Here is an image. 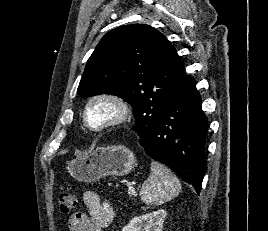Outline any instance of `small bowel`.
<instances>
[{
  "label": "small bowel",
  "mask_w": 268,
  "mask_h": 231,
  "mask_svg": "<svg viewBox=\"0 0 268 231\" xmlns=\"http://www.w3.org/2000/svg\"><path fill=\"white\" fill-rule=\"evenodd\" d=\"M83 203L87 212H77L70 216L69 231H104L114 218V209L111 203L102 201L94 191L83 193Z\"/></svg>",
  "instance_id": "obj_1"
}]
</instances>
